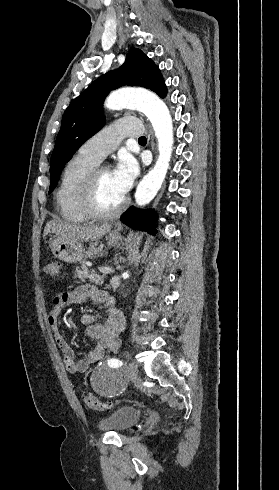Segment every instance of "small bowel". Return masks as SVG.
<instances>
[{
  "label": "small bowel",
  "instance_id": "1",
  "mask_svg": "<svg viewBox=\"0 0 279 490\" xmlns=\"http://www.w3.org/2000/svg\"><path fill=\"white\" fill-rule=\"evenodd\" d=\"M87 301L102 304L106 308L103 322H98L95 314H82L80 323L88 336L96 344L89 354L76 360L74 350L67 343L59 324V315L67 305L81 304ZM48 324L54 340L63 354V362L70 372H85L93 363L100 361L106 352H117L121 345L120 335L125 329V319L116 307L115 299L107 292L92 286L82 285L69 291L59 293L53 299V306L48 315Z\"/></svg>",
  "mask_w": 279,
  "mask_h": 490
}]
</instances>
